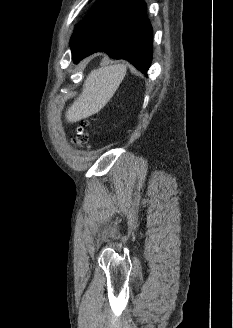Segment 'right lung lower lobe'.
<instances>
[{"mask_svg": "<svg viewBox=\"0 0 233 328\" xmlns=\"http://www.w3.org/2000/svg\"><path fill=\"white\" fill-rule=\"evenodd\" d=\"M74 62L98 51L125 59L147 75L152 61V27L142 0H99L71 39Z\"/></svg>", "mask_w": 233, "mask_h": 328, "instance_id": "98d812e1", "label": "right lung lower lobe"}]
</instances>
